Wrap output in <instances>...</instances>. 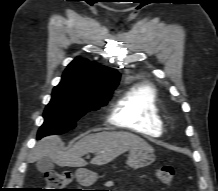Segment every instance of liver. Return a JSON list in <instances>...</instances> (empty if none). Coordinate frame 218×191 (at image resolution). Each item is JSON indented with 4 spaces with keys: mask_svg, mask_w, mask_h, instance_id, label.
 <instances>
[{
    "mask_svg": "<svg viewBox=\"0 0 218 191\" xmlns=\"http://www.w3.org/2000/svg\"><path fill=\"white\" fill-rule=\"evenodd\" d=\"M62 141L58 136H50L37 143L30 154L29 162L48 157L57 165L64 167H84L87 162L82 158L88 153L95 154L91 160L94 165H104L128 150L153 148L139 136L128 132H98L89 134L70 149L63 151Z\"/></svg>",
    "mask_w": 218,
    "mask_h": 191,
    "instance_id": "liver-1",
    "label": "liver"
}]
</instances>
